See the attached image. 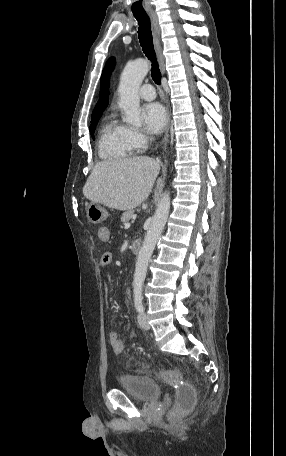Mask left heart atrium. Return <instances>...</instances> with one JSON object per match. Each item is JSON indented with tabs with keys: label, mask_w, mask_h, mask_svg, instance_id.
Listing matches in <instances>:
<instances>
[{
	"label": "left heart atrium",
	"mask_w": 286,
	"mask_h": 456,
	"mask_svg": "<svg viewBox=\"0 0 286 456\" xmlns=\"http://www.w3.org/2000/svg\"><path fill=\"white\" fill-rule=\"evenodd\" d=\"M142 118L147 129L154 134L161 132L166 123V113L159 103L146 104L142 109Z\"/></svg>",
	"instance_id": "1"
}]
</instances>
